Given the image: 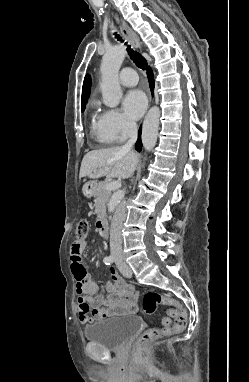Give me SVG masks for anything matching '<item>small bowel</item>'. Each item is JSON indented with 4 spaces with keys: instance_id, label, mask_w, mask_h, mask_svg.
I'll return each mask as SVG.
<instances>
[{
    "instance_id": "obj_1",
    "label": "small bowel",
    "mask_w": 249,
    "mask_h": 382,
    "mask_svg": "<svg viewBox=\"0 0 249 382\" xmlns=\"http://www.w3.org/2000/svg\"><path fill=\"white\" fill-rule=\"evenodd\" d=\"M93 239L76 240L70 250L71 270L76 280L77 314L82 324H89L114 314L132 312L136 308V298L132 285L111 270V281L105 285L107 295L99 291L81 263L82 254Z\"/></svg>"
}]
</instances>
